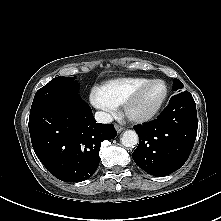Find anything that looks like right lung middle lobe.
Wrapping results in <instances>:
<instances>
[{"label": "right lung middle lobe", "instance_id": "right-lung-middle-lobe-1", "mask_svg": "<svg viewBox=\"0 0 221 221\" xmlns=\"http://www.w3.org/2000/svg\"><path fill=\"white\" fill-rule=\"evenodd\" d=\"M74 79L75 77H55L36 92L32 106L53 97L78 94L79 84Z\"/></svg>", "mask_w": 221, "mask_h": 221}]
</instances>
